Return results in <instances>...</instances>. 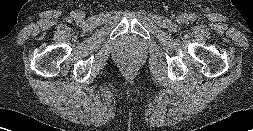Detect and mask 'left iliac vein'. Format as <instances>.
<instances>
[{
    "instance_id": "4c4485c4",
    "label": "left iliac vein",
    "mask_w": 253,
    "mask_h": 131,
    "mask_svg": "<svg viewBox=\"0 0 253 131\" xmlns=\"http://www.w3.org/2000/svg\"><path fill=\"white\" fill-rule=\"evenodd\" d=\"M181 19H183V20H184V19H185V16H183V15H182V16H181Z\"/></svg>"
}]
</instances>
